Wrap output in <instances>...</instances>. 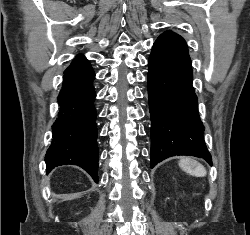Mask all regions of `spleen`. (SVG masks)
I'll return each instance as SVG.
<instances>
[{
	"mask_svg": "<svg viewBox=\"0 0 250 235\" xmlns=\"http://www.w3.org/2000/svg\"><path fill=\"white\" fill-rule=\"evenodd\" d=\"M179 166L183 171L192 176L204 177L207 174V171L202 164L190 158L181 159L179 161Z\"/></svg>",
	"mask_w": 250,
	"mask_h": 235,
	"instance_id": "3e777b00",
	"label": "spleen"
}]
</instances>
